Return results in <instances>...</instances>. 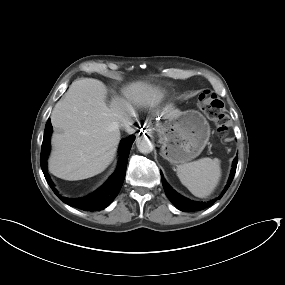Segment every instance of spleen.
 Listing matches in <instances>:
<instances>
[{"label":"spleen","mask_w":285,"mask_h":285,"mask_svg":"<svg viewBox=\"0 0 285 285\" xmlns=\"http://www.w3.org/2000/svg\"><path fill=\"white\" fill-rule=\"evenodd\" d=\"M174 170L181 183L199 198H205L213 193L221 178L220 160L218 158H201L177 165Z\"/></svg>","instance_id":"1"}]
</instances>
